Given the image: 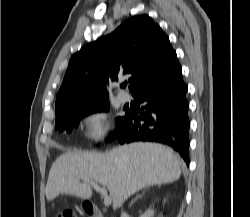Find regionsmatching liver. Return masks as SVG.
<instances>
[{"label":"liver","mask_w":250,"mask_h":217,"mask_svg":"<svg viewBox=\"0 0 250 217\" xmlns=\"http://www.w3.org/2000/svg\"><path fill=\"white\" fill-rule=\"evenodd\" d=\"M180 176L181 163L171 148L135 142L103 154L76 150L60 155L50 169L45 193L48 201L59 194L89 199L90 185L79 182L85 177L108 189L116 209L142 188L172 183Z\"/></svg>","instance_id":"1"}]
</instances>
